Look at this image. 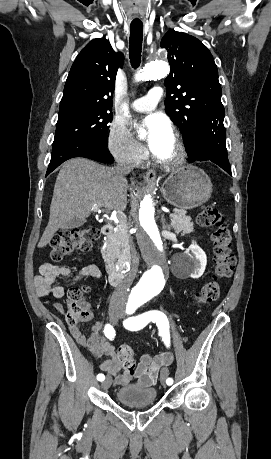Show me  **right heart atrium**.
Wrapping results in <instances>:
<instances>
[{
	"label": "right heart atrium",
	"instance_id": "1",
	"mask_svg": "<svg viewBox=\"0 0 271 459\" xmlns=\"http://www.w3.org/2000/svg\"><path fill=\"white\" fill-rule=\"evenodd\" d=\"M107 147L116 159H125L131 165H138L147 157L146 148L138 143L122 124L113 123L107 135Z\"/></svg>",
	"mask_w": 271,
	"mask_h": 459
}]
</instances>
